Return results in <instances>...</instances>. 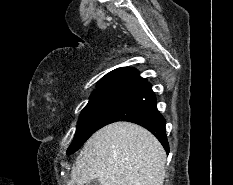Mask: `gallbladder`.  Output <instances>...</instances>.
I'll list each match as a JSON object with an SVG mask.
<instances>
[{"instance_id":"obj_1","label":"gallbladder","mask_w":233,"mask_h":185,"mask_svg":"<svg viewBox=\"0 0 233 185\" xmlns=\"http://www.w3.org/2000/svg\"><path fill=\"white\" fill-rule=\"evenodd\" d=\"M85 185H100V183L98 180H92L91 182L86 183Z\"/></svg>"}]
</instances>
